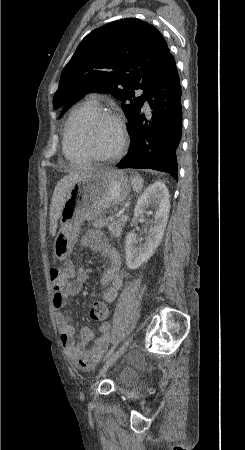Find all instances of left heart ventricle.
<instances>
[{
  "instance_id": "b2bd125f",
  "label": "left heart ventricle",
  "mask_w": 245,
  "mask_h": 450,
  "mask_svg": "<svg viewBox=\"0 0 245 450\" xmlns=\"http://www.w3.org/2000/svg\"><path fill=\"white\" fill-rule=\"evenodd\" d=\"M75 130L80 143L95 155L112 153L120 142L117 125L108 119L100 118L90 125H85L78 119L75 122Z\"/></svg>"
}]
</instances>
